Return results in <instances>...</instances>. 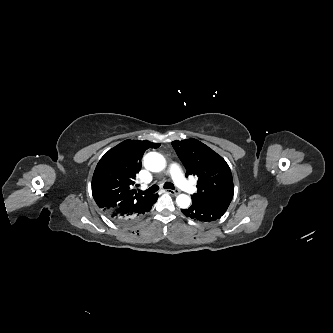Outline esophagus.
<instances>
[{
    "label": "esophagus",
    "instance_id": "obj_1",
    "mask_svg": "<svg viewBox=\"0 0 333 333\" xmlns=\"http://www.w3.org/2000/svg\"><path fill=\"white\" fill-rule=\"evenodd\" d=\"M166 192L172 195H178L180 193L179 190H171V189H167Z\"/></svg>",
    "mask_w": 333,
    "mask_h": 333
}]
</instances>
